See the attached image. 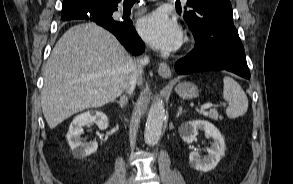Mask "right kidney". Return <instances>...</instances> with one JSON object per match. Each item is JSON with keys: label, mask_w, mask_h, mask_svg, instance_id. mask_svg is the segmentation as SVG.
Masks as SVG:
<instances>
[{"label": "right kidney", "mask_w": 293, "mask_h": 184, "mask_svg": "<svg viewBox=\"0 0 293 184\" xmlns=\"http://www.w3.org/2000/svg\"><path fill=\"white\" fill-rule=\"evenodd\" d=\"M89 123H95L100 130L107 129L109 125L107 116L101 111H87L74 118L66 137L74 157L78 159L91 155L98 148L95 141L90 143L81 141L80 136L83 133V127Z\"/></svg>", "instance_id": "obj_1"}]
</instances>
